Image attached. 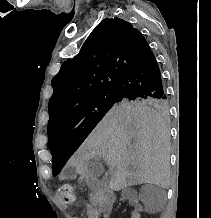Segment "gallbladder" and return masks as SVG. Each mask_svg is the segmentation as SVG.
Masks as SVG:
<instances>
[{"mask_svg":"<svg viewBox=\"0 0 211 218\" xmlns=\"http://www.w3.org/2000/svg\"><path fill=\"white\" fill-rule=\"evenodd\" d=\"M88 174L94 176V178H100L104 174V166H102L99 158H93L88 162L87 166Z\"/></svg>","mask_w":211,"mask_h":218,"instance_id":"gallbladder-1","label":"gallbladder"}]
</instances>
